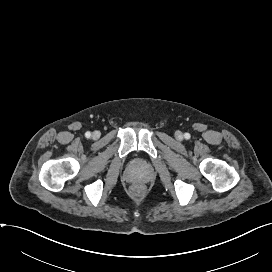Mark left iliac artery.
Returning a JSON list of instances; mask_svg holds the SVG:
<instances>
[{"label": "left iliac artery", "instance_id": "left-iliac-artery-1", "mask_svg": "<svg viewBox=\"0 0 272 272\" xmlns=\"http://www.w3.org/2000/svg\"><path fill=\"white\" fill-rule=\"evenodd\" d=\"M184 137H185L186 139H189V138H190V134H189V133H185V134H184Z\"/></svg>", "mask_w": 272, "mask_h": 272}]
</instances>
